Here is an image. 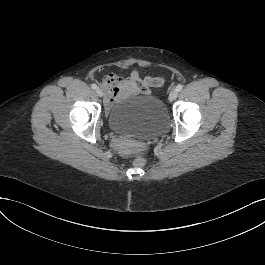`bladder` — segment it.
Wrapping results in <instances>:
<instances>
[{"label": "bladder", "mask_w": 265, "mask_h": 265, "mask_svg": "<svg viewBox=\"0 0 265 265\" xmlns=\"http://www.w3.org/2000/svg\"><path fill=\"white\" fill-rule=\"evenodd\" d=\"M166 124L167 108L153 95L122 99L108 114L110 129L133 138L151 137L162 132Z\"/></svg>", "instance_id": "bladder-1"}]
</instances>
